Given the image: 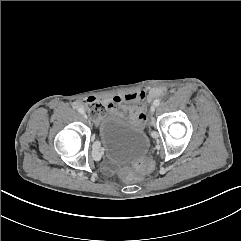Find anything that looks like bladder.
Here are the masks:
<instances>
[{
  "label": "bladder",
  "mask_w": 241,
  "mask_h": 241,
  "mask_svg": "<svg viewBox=\"0 0 241 241\" xmlns=\"http://www.w3.org/2000/svg\"><path fill=\"white\" fill-rule=\"evenodd\" d=\"M99 134L105 156L114 163L138 160L146 156L150 149V140L145 131L114 111L103 115Z\"/></svg>",
  "instance_id": "bladder-1"
}]
</instances>
